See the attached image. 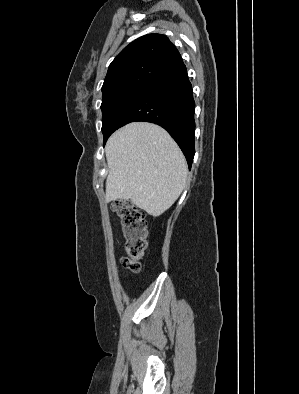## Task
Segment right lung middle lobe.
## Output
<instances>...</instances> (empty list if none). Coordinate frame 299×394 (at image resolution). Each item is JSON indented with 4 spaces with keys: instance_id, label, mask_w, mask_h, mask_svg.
I'll use <instances>...</instances> for the list:
<instances>
[{
    "instance_id": "right-lung-middle-lobe-1",
    "label": "right lung middle lobe",
    "mask_w": 299,
    "mask_h": 394,
    "mask_svg": "<svg viewBox=\"0 0 299 394\" xmlns=\"http://www.w3.org/2000/svg\"><path fill=\"white\" fill-rule=\"evenodd\" d=\"M150 85L124 84L102 92V133L104 143L113 132L115 125L127 108Z\"/></svg>"
}]
</instances>
